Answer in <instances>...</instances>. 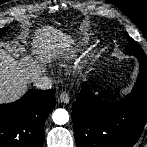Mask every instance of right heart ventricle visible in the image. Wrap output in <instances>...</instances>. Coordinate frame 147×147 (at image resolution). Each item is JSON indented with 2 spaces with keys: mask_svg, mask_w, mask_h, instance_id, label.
Listing matches in <instances>:
<instances>
[{
  "mask_svg": "<svg viewBox=\"0 0 147 147\" xmlns=\"http://www.w3.org/2000/svg\"><path fill=\"white\" fill-rule=\"evenodd\" d=\"M89 43L90 37L88 35H83L79 37L75 45L71 47V49H69V51L64 55V57L66 59L73 57L77 51L86 48Z\"/></svg>",
  "mask_w": 147,
  "mask_h": 147,
  "instance_id": "1",
  "label": "right heart ventricle"
}]
</instances>
